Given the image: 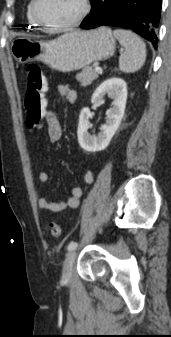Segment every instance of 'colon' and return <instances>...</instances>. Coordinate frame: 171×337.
<instances>
[{
  "label": "colon",
  "mask_w": 171,
  "mask_h": 337,
  "mask_svg": "<svg viewBox=\"0 0 171 337\" xmlns=\"http://www.w3.org/2000/svg\"><path fill=\"white\" fill-rule=\"evenodd\" d=\"M46 89V78L41 67L32 63L27 68V90L25 98V109L27 112V124L29 127H33L37 124L41 116L47 115V110L44 107H48L47 95L44 94ZM50 234L58 238L61 236V226L57 223L49 224Z\"/></svg>",
  "instance_id": "colon-1"
}]
</instances>
